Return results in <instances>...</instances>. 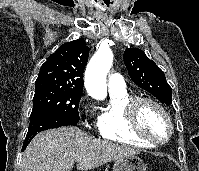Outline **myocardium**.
<instances>
[{"label":"myocardium","instance_id":"f54148a6","mask_svg":"<svg viewBox=\"0 0 199 171\" xmlns=\"http://www.w3.org/2000/svg\"><path fill=\"white\" fill-rule=\"evenodd\" d=\"M145 105H151L155 107L166 119L169 132L166 138L158 139L150 135L142 126L141 114ZM127 117L129 126L132 132L138 137L156 145H162L169 142L174 135V124L172 118L166 108L156 99L151 97H135L127 105Z\"/></svg>","mask_w":199,"mask_h":171}]
</instances>
